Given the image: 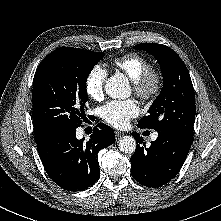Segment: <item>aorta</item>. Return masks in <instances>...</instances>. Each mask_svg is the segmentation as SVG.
<instances>
[{
  "label": "aorta",
  "instance_id": "1",
  "mask_svg": "<svg viewBox=\"0 0 221 221\" xmlns=\"http://www.w3.org/2000/svg\"><path fill=\"white\" fill-rule=\"evenodd\" d=\"M104 88L106 94L114 99H126L131 94L128 79L123 74L109 77ZM118 146L121 152L132 154L136 150V141L132 136H124L118 141Z\"/></svg>",
  "mask_w": 221,
  "mask_h": 221
}]
</instances>
